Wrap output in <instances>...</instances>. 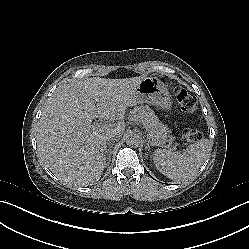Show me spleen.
<instances>
[{"instance_id":"spleen-1","label":"spleen","mask_w":249,"mask_h":249,"mask_svg":"<svg viewBox=\"0 0 249 249\" xmlns=\"http://www.w3.org/2000/svg\"><path fill=\"white\" fill-rule=\"evenodd\" d=\"M211 143L203 139L188 146L180 153L173 149L164 151L156 150L153 154V160L157 169L172 180L183 178V172H195L209 157Z\"/></svg>"}]
</instances>
